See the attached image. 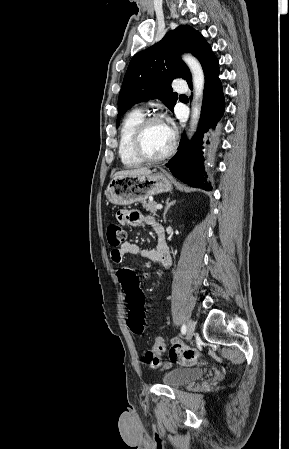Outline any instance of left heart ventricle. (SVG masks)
Segmentation results:
<instances>
[{
    "label": "left heart ventricle",
    "mask_w": 289,
    "mask_h": 449,
    "mask_svg": "<svg viewBox=\"0 0 289 449\" xmlns=\"http://www.w3.org/2000/svg\"><path fill=\"white\" fill-rule=\"evenodd\" d=\"M172 142V132L163 122L152 123L144 133L143 147L152 157L164 154Z\"/></svg>",
    "instance_id": "obj_1"
}]
</instances>
